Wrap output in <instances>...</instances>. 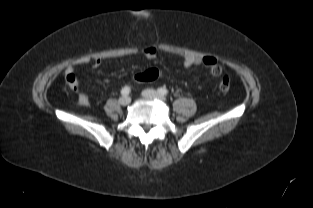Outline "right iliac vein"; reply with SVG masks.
<instances>
[{"label": "right iliac vein", "instance_id": "1", "mask_svg": "<svg viewBox=\"0 0 313 208\" xmlns=\"http://www.w3.org/2000/svg\"><path fill=\"white\" fill-rule=\"evenodd\" d=\"M130 102H131V99L128 96H122L119 98V104L122 106H127L130 104Z\"/></svg>", "mask_w": 313, "mask_h": 208}]
</instances>
